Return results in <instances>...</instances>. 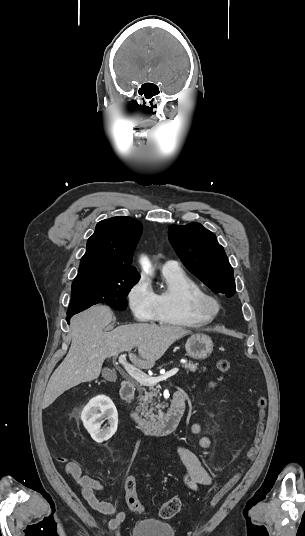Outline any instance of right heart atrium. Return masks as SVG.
<instances>
[{
    "mask_svg": "<svg viewBox=\"0 0 305 536\" xmlns=\"http://www.w3.org/2000/svg\"><path fill=\"white\" fill-rule=\"evenodd\" d=\"M126 303L134 318L140 322L156 320V296L150 284L139 276L126 292Z\"/></svg>",
    "mask_w": 305,
    "mask_h": 536,
    "instance_id": "obj_1",
    "label": "right heart atrium"
}]
</instances>
